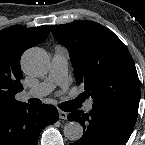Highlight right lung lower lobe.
Masks as SVG:
<instances>
[{"label":"right lung lower lobe","mask_w":145,"mask_h":145,"mask_svg":"<svg viewBox=\"0 0 145 145\" xmlns=\"http://www.w3.org/2000/svg\"><path fill=\"white\" fill-rule=\"evenodd\" d=\"M55 106L22 103L0 113V145H37L41 130L55 123Z\"/></svg>","instance_id":"right-lung-lower-lobe-1"}]
</instances>
